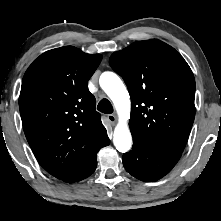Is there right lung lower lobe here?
I'll return each mask as SVG.
<instances>
[{"label": "right lung lower lobe", "mask_w": 221, "mask_h": 221, "mask_svg": "<svg viewBox=\"0 0 221 221\" xmlns=\"http://www.w3.org/2000/svg\"><path fill=\"white\" fill-rule=\"evenodd\" d=\"M110 143L109 138L107 137L101 144H99L93 152L90 154V156L86 159V161L80 165L73 173L70 175L62 178L61 180L65 182H77L80 180H83L90 176L97 167V153L98 151L105 146H108Z\"/></svg>", "instance_id": "obj_1"}]
</instances>
